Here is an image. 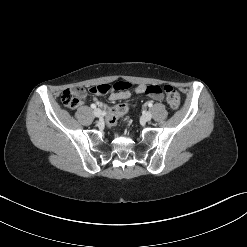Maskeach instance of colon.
Instances as JSON below:
<instances>
[{"instance_id": "1", "label": "colon", "mask_w": 247, "mask_h": 247, "mask_svg": "<svg viewBox=\"0 0 247 247\" xmlns=\"http://www.w3.org/2000/svg\"><path fill=\"white\" fill-rule=\"evenodd\" d=\"M124 86L125 84L120 82L115 83L113 86L109 84H100L90 87L89 91L93 94H105L108 91H110L112 87L121 88ZM130 87H133V84H130ZM139 90H149V97L154 102H161L164 99L165 95V99L168 106L173 110L177 109L180 106V95L172 86L166 85L163 87V89L160 86L139 87ZM84 95L85 90L82 87L76 86L73 88L66 89L62 93L61 100L66 107L70 109H75L80 105ZM134 108L135 102L117 104L107 116L108 126H114L117 122L118 117H124L127 114L128 110L132 111L134 110Z\"/></svg>"}]
</instances>
